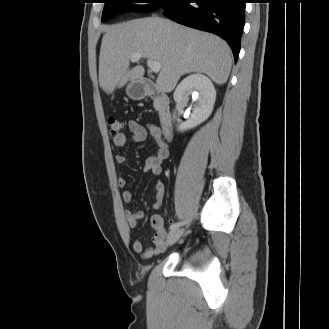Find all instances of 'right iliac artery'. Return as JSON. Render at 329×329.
Returning <instances> with one entry per match:
<instances>
[{"mask_svg":"<svg viewBox=\"0 0 329 329\" xmlns=\"http://www.w3.org/2000/svg\"><path fill=\"white\" fill-rule=\"evenodd\" d=\"M185 223H186V221L173 223V224L169 227V229H170V230H174V229L178 228L179 226L184 225Z\"/></svg>","mask_w":329,"mask_h":329,"instance_id":"82829eb1","label":"right iliac artery"}]
</instances>
